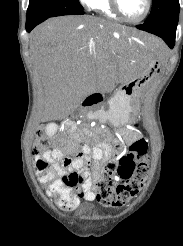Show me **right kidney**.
<instances>
[{
  "label": "right kidney",
  "instance_id": "obj_1",
  "mask_svg": "<svg viewBox=\"0 0 183 246\" xmlns=\"http://www.w3.org/2000/svg\"><path fill=\"white\" fill-rule=\"evenodd\" d=\"M57 131V125L54 123H50L46 127V133L48 135H53Z\"/></svg>",
  "mask_w": 183,
  "mask_h": 246
}]
</instances>
